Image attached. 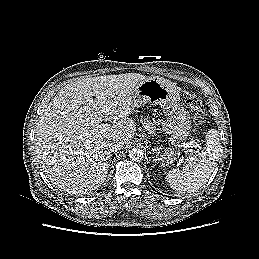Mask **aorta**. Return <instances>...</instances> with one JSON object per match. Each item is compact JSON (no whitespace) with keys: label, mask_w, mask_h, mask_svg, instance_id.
I'll return each instance as SVG.
<instances>
[{"label":"aorta","mask_w":259,"mask_h":259,"mask_svg":"<svg viewBox=\"0 0 259 259\" xmlns=\"http://www.w3.org/2000/svg\"><path fill=\"white\" fill-rule=\"evenodd\" d=\"M128 156L132 161L140 162L141 160H143L144 151L141 148L134 147L129 150Z\"/></svg>","instance_id":"obj_1"}]
</instances>
